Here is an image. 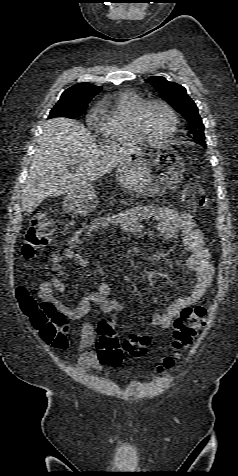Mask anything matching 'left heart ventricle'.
<instances>
[{
  "label": "left heart ventricle",
  "mask_w": 238,
  "mask_h": 476,
  "mask_svg": "<svg viewBox=\"0 0 238 476\" xmlns=\"http://www.w3.org/2000/svg\"><path fill=\"white\" fill-rule=\"evenodd\" d=\"M144 126L150 136L162 138L169 133L172 119L162 106L152 105L144 115Z\"/></svg>",
  "instance_id": "obj_1"
}]
</instances>
